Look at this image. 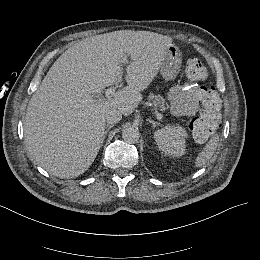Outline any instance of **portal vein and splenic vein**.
Segmentation results:
<instances>
[{
    "mask_svg": "<svg viewBox=\"0 0 260 260\" xmlns=\"http://www.w3.org/2000/svg\"><path fill=\"white\" fill-rule=\"evenodd\" d=\"M124 64H127L126 57L124 58ZM118 87H119V85H118V83H116L114 86L105 89L104 96L102 94H98V95H95L94 98H96V99L106 98V99L110 100L114 96ZM157 118H158V120H161L162 115L160 113H157Z\"/></svg>",
    "mask_w": 260,
    "mask_h": 260,
    "instance_id": "obj_1",
    "label": "portal vein and splenic vein"
}]
</instances>
